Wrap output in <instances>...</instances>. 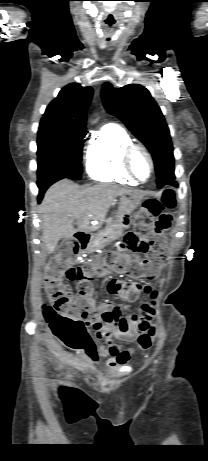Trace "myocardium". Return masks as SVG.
<instances>
[{"label": "myocardium", "mask_w": 208, "mask_h": 461, "mask_svg": "<svg viewBox=\"0 0 208 461\" xmlns=\"http://www.w3.org/2000/svg\"><path fill=\"white\" fill-rule=\"evenodd\" d=\"M137 153L144 154L145 157L147 158L148 162H149L150 171H149V175L146 178H141L137 174V172L135 171V168L133 166V159H134V156ZM123 166H124L126 172L131 177H133L136 181L142 182V183L147 182L152 177V175L154 174V170H155L154 160H153V157H152L150 151L144 145L138 144V143H131L124 150V153H123Z\"/></svg>", "instance_id": "myocardium-1"}]
</instances>
